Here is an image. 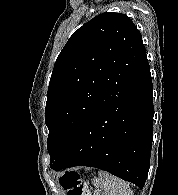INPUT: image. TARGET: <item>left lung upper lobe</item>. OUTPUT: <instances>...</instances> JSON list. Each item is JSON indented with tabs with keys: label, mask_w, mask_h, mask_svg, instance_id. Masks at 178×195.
<instances>
[{
	"label": "left lung upper lobe",
	"mask_w": 178,
	"mask_h": 195,
	"mask_svg": "<svg viewBox=\"0 0 178 195\" xmlns=\"http://www.w3.org/2000/svg\"><path fill=\"white\" fill-rule=\"evenodd\" d=\"M146 60L142 36L125 14L102 13L72 34L55 62L47 91L51 168L94 111Z\"/></svg>",
	"instance_id": "obj_1"
}]
</instances>
